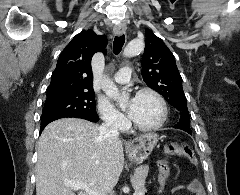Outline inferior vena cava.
I'll use <instances>...</instances> for the list:
<instances>
[{
  "label": "inferior vena cava",
  "instance_id": "inferior-vena-cava-1",
  "mask_svg": "<svg viewBox=\"0 0 240 195\" xmlns=\"http://www.w3.org/2000/svg\"><path fill=\"white\" fill-rule=\"evenodd\" d=\"M104 121L105 123L100 125V135H103L106 139H117L119 137L118 123L114 119H110V117H105Z\"/></svg>",
  "mask_w": 240,
  "mask_h": 195
}]
</instances>
